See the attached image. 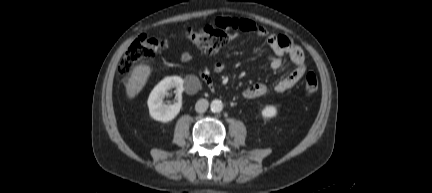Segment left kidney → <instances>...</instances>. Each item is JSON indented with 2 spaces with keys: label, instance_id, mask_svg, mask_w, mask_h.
<instances>
[{
  "label": "left kidney",
  "instance_id": "1",
  "mask_svg": "<svg viewBox=\"0 0 432 193\" xmlns=\"http://www.w3.org/2000/svg\"><path fill=\"white\" fill-rule=\"evenodd\" d=\"M277 108L273 105H267L261 111V114L264 118H273L277 115Z\"/></svg>",
  "mask_w": 432,
  "mask_h": 193
}]
</instances>
